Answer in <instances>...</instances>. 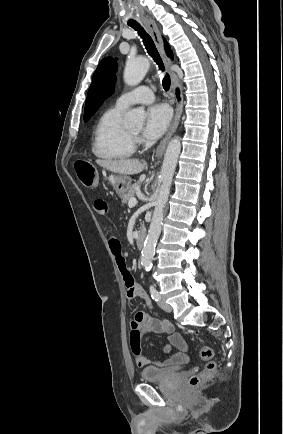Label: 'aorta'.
<instances>
[{"instance_id": "aorta-1", "label": "aorta", "mask_w": 283, "mask_h": 434, "mask_svg": "<svg viewBox=\"0 0 283 434\" xmlns=\"http://www.w3.org/2000/svg\"><path fill=\"white\" fill-rule=\"evenodd\" d=\"M150 67V61L146 57L129 58L125 65L124 82L127 85L135 86L145 77ZM145 119V112L141 109L130 110L124 119V124L128 127H142ZM181 151V141L179 137H174L168 144L160 172L161 186L158 198L148 230V235L144 242L141 253V264L146 271L152 268V259L155 254V246L162 229L163 213L170 194V187L176 169L178 157Z\"/></svg>"}]
</instances>
